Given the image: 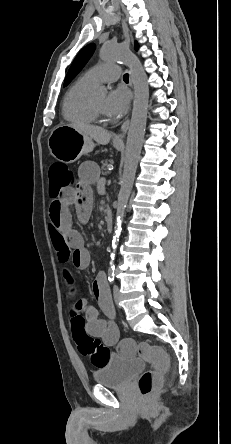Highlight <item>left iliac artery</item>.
I'll list each match as a JSON object with an SVG mask.
<instances>
[{
  "label": "left iliac artery",
  "mask_w": 231,
  "mask_h": 444,
  "mask_svg": "<svg viewBox=\"0 0 231 444\" xmlns=\"http://www.w3.org/2000/svg\"><path fill=\"white\" fill-rule=\"evenodd\" d=\"M108 280L110 283H113V281H114V268L113 267H111V269L109 270Z\"/></svg>",
  "instance_id": "44dca946"
}]
</instances>
